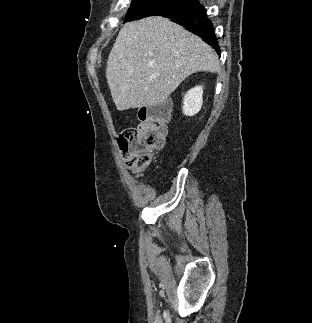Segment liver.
I'll use <instances>...</instances> for the list:
<instances>
[{
  "label": "liver",
  "mask_w": 312,
  "mask_h": 323,
  "mask_svg": "<svg viewBox=\"0 0 312 323\" xmlns=\"http://www.w3.org/2000/svg\"><path fill=\"white\" fill-rule=\"evenodd\" d=\"M211 46L162 16L127 22L108 56L106 78L119 112L156 106L195 72H219Z\"/></svg>",
  "instance_id": "1"
}]
</instances>
